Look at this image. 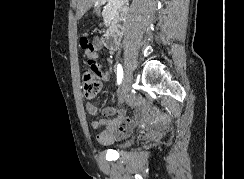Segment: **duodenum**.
Segmentation results:
<instances>
[{
    "label": "duodenum",
    "mask_w": 244,
    "mask_h": 179,
    "mask_svg": "<svg viewBox=\"0 0 244 179\" xmlns=\"http://www.w3.org/2000/svg\"><path fill=\"white\" fill-rule=\"evenodd\" d=\"M101 3H106L107 0H100ZM99 4V3H96ZM128 2L121 0L114 3L113 8V21L111 22V29L110 31L105 32L103 35V42L109 48L117 47L118 43L120 42V32H119V25L118 20L119 18L124 15L127 9ZM93 10L97 9L96 5L92 6Z\"/></svg>",
    "instance_id": "obj_1"
}]
</instances>
